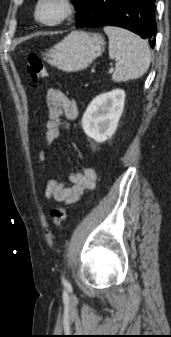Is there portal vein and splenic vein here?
<instances>
[{
    "instance_id": "1",
    "label": "portal vein and splenic vein",
    "mask_w": 171,
    "mask_h": 337,
    "mask_svg": "<svg viewBox=\"0 0 171 337\" xmlns=\"http://www.w3.org/2000/svg\"><path fill=\"white\" fill-rule=\"evenodd\" d=\"M113 72V69L111 68L110 70H109V73H112Z\"/></svg>"
}]
</instances>
